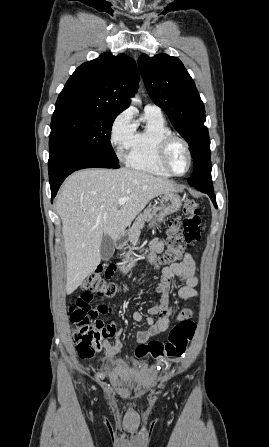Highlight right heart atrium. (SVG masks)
<instances>
[{
    "label": "right heart atrium",
    "mask_w": 269,
    "mask_h": 447,
    "mask_svg": "<svg viewBox=\"0 0 269 447\" xmlns=\"http://www.w3.org/2000/svg\"><path fill=\"white\" fill-rule=\"evenodd\" d=\"M135 131V124L131 110L120 112L112 121L109 131V141L118 158L122 159L130 149Z\"/></svg>",
    "instance_id": "obj_1"
}]
</instances>
